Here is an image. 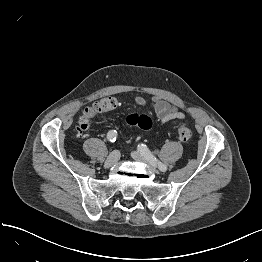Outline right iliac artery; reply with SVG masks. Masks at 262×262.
<instances>
[{"mask_svg": "<svg viewBox=\"0 0 262 262\" xmlns=\"http://www.w3.org/2000/svg\"><path fill=\"white\" fill-rule=\"evenodd\" d=\"M118 134L116 130H110L107 134V139L110 142H115L116 138H117Z\"/></svg>", "mask_w": 262, "mask_h": 262, "instance_id": "82829eb1", "label": "right iliac artery"}]
</instances>
